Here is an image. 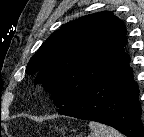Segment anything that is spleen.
Instances as JSON below:
<instances>
[{
	"mask_svg": "<svg viewBox=\"0 0 144 137\" xmlns=\"http://www.w3.org/2000/svg\"><path fill=\"white\" fill-rule=\"evenodd\" d=\"M89 127L91 133L88 137H123L116 129L98 122L91 121Z\"/></svg>",
	"mask_w": 144,
	"mask_h": 137,
	"instance_id": "3e777b00",
	"label": "spleen"
}]
</instances>
